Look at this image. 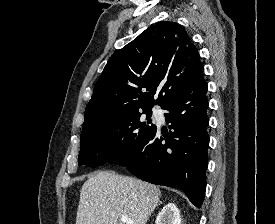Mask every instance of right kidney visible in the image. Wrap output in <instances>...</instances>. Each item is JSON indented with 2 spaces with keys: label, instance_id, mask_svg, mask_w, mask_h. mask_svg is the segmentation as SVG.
I'll use <instances>...</instances> for the list:
<instances>
[{
  "label": "right kidney",
  "instance_id": "obj_1",
  "mask_svg": "<svg viewBox=\"0 0 275 224\" xmlns=\"http://www.w3.org/2000/svg\"><path fill=\"white\" fill-rule=\"evenodd\" d=\"M156 224H181L179 209L174 203H168L159 212Z\"/></svg>",
  "mask_w": 275,
  "mask_h": 224
}]
</instances>
